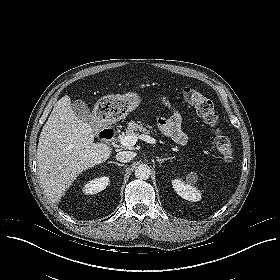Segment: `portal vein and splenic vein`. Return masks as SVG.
Segmentation results:
<instances>
[{
  "label": "portal vein and splenic vein",
  "instance_id": "portal-vein-and-splenic-vein-1",
  "mask_svg": "<svg viewBox=\"0 0 280 280\" xmlns=\"http://www.w3.org/2000/svg\"><path fill=\"white\" fill-rule=\"evenodd\" d=\"M138 138L150 144H156L155 139L146 134L139 135L138 137L136 135H122L119 138V142L123 146H132L136 144Z\"/></svg>",
  "mask_w": 280,
  "mask_h": 280
}]
</instances>
